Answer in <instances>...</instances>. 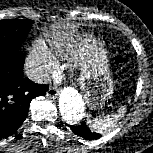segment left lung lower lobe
<instances>
[{
	"label": "left lung lower lobe",
	"instance_id": "0a47b994",
	"mask_svg": "<svg viewBox=\"0 0 153 153\" xmlns=\"http://www.w3.org/2000/svg\"><path fill=\"white\" fill-rule=\"evenodd\" d=\"M71 130L78 136L83 137L88 140H94L101 137V134H98L96 132H92L85 122L77 125V126H71Z\"/></svg>",
	"mask_w": 153,
	"mask_h": 153
}]
</instances>
